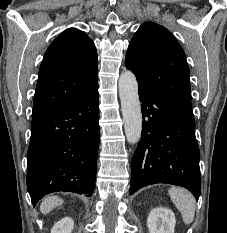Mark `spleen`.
<instances>
[{
    "instance_id": "obj_1",
    "label": "spleen",
    "mask_w": 227,
    "mask_h": 233,
    "mask_svg": "<svg viewBox=\"0 0 227 233\" xmlns=\"http://www.w3.org/2000/svg\"><path fill=\"white\" fill-rule=\"evenodd\" d=\"M172 202L180 211L185 224H190L194 220L196 201L194 196L186 189L171 187L168 191Z\"/></svg>"
}]
</instances>
